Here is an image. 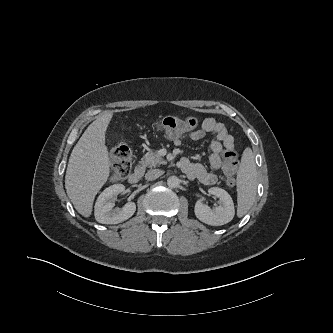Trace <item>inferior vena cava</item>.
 <instances>
[{
  "label": "inferior vena cava",
  "mask_w": 333,
  "mask_h": 333,
  "mask_svg": "<svg viewBox=\"0 0 333 333\" xmlns=\"http://www.w3.org/2000/svg\"><path fill=\"white\" fill-rule=\"evenodd\" d=\"M163 174L162 170L152 169L145 174L146 180H155Z\"/></svg>",
  "instance_id": "inferior-vena-cava-1"
}]
</instances>
